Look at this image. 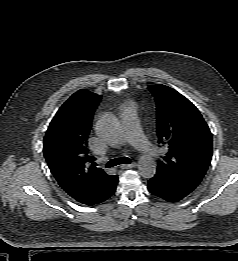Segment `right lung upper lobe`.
Wrapping results in <instances>:
<instances>
[{"label":"right lung upper lobe","instance_id":"obj_1","mask_svg":"<svg viewBox=\"0 0 238 261\" xmlns=\"http://www.w3.org/2000/svg\"><path fill=\"white\" fill-rule=\"evenodd\" d=\"M101 96L81 89L52 119L43 141V153L60 187L73 199L88 204L116 178L96 167L87 145L92 119Z\"/></svg>","mask_w":238,"mask_h":261}]
</instances>
